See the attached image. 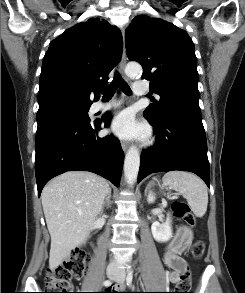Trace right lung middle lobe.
Wrapping results in <instances>:
<instances>
[{
    "label": "right lung middle lobe",
    "instance_id": "1",
    "mask_svg": "<svg viewBox=\"0 0 245 293\" xmlns=\"http://www.w3.org/2000/svg\"><path fill=\"white\" fill-rule=\"evenodd\" d=\"M90 106L63 103L39 108L37 112L38 128L36 136L44 134L61 123L90 121L88 116Z\"/></svg>",
    "mask_w": 245,
    "mask_h": 293
}]
</instances>
